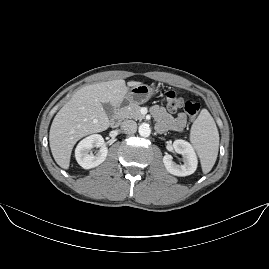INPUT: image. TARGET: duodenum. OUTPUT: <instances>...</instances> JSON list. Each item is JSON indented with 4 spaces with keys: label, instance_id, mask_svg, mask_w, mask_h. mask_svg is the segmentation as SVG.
<instances>
[{
    "label": "duodenum",
    "instance_id": "1",
    "mask_svg": "<svg viewBox=\"0 0 269 269\" xmlns=\"http://www.w3.org/2000/svg\"><path fill=\"white\" fill-rule=\"evenodd\" d=\"M121 120H122V109L121 106H118L116 108L114 116L111 119V125L115 127L121 122Z\"/></svg>",
    "mask_w": 269,
    "mask_h": 269
}]
</instances>
